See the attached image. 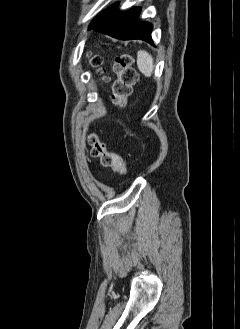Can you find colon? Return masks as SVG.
Instances as JSON below:
<instances>
[{"label": "colon", "instance_id": "1", "mask_svg": "<svg viewBox=\"0 0 240 329\" xmlns=\"http://www.w3.org/2000/svg\"><path fill=\"white\" fill-rule=\"evenodd\" d=\"M91 62L99 66L101 65V57L93 55L91 56ZM115 71L117 79L112 86V98L115 104L124 105L137 80V73L131 65L130 57L127 55H120L116 58ZM88 143L91 146V155L99 158L104 166L111 167L120 174L127 172V165L122 156L115 151L108 150L96 134L89 135Z\"/></svg>", "mask_w": 240, "mask_h": 329}]
</instances>
